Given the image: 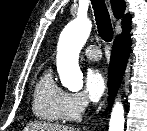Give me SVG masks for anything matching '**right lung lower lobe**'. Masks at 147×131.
Segmentation results:
<instances>
[{"label":"right lung lower lobe","instance_id":"obj_1","mask_svg":"<svg viewBox=\"0 0 147 131\" xmlns=\"http://www.w3.org/2000/svg\"><path fill=\"white\" fill-rule=\"evenodd\" d=\"M130 46L131 40L129 32L118 36L114 41L108 73L109 95L112 97L115 96L121 83L130 52Z\"/></svg>","mask_w":147,"mask_h":131}]
</instances>
